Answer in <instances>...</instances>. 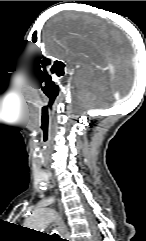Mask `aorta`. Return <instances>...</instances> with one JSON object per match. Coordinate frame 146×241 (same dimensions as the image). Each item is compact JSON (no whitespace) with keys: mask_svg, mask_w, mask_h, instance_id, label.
I'll return each mask as SVG.
<instances>
[{"mask_svg":"<svg viewBox=\"0 0 146 241\" xmlns=\"http://www.w3.org/2000/svg\"><path fill=\"white\" fill-rule=\"evenodd\" d=\"M56 212L51 208H41L33 212L26 220V227L34 230L45 229L55 218Z\"/></svg>","mask_w":146,"mask_h":241,"instance_id":"762f6f07","label":"aorta"}]
</instances>
